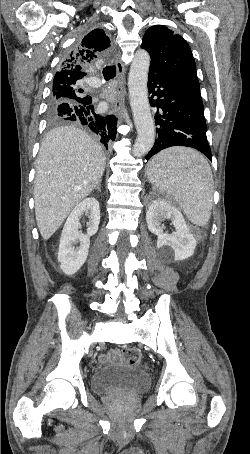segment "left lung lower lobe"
I'll return each mask as SVG.
<instances>
[{
	"mask_svg": "<svg viewBox=\"0 0 250 454\" xmlns=\"http://www.w3.org/2000/svg\"><path fill=\"white\" fill-rule=\"evenodd\" d=\"M148 92L150 105L157 108V138L145 159L171 146H187L212 160L199 83L149 71Z\"/></svg>",
	"mask_w": 250,
	"mask_h": 454,
	"instance_id": "0a47b994",
	"label": "left lung lower lobe"
}]
</instances>
